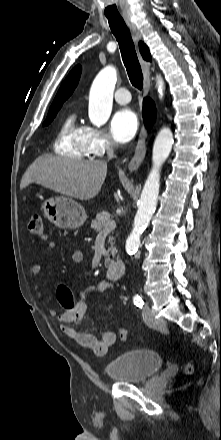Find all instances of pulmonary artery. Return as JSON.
Listing matches in <instances>:
<instances>
[{
	"label": "pulmonary artery",
	"instance_id": "1",
	"mask_svg": "<svg viewBox=\"0 0 221 440\" xmlns=\"http://www.w3.org/2000/svg\"><path fill=\"white\" fill-rule=\"evenodd\" d=\"M114 99L119 104H127L131 100V95L126 88H119L114 94Z\"/></svg>",
	"mask_w": 221,
	"mask_h": 440
}]
</instances>
